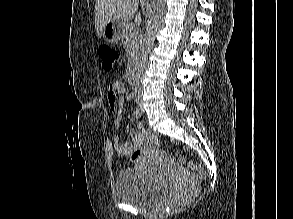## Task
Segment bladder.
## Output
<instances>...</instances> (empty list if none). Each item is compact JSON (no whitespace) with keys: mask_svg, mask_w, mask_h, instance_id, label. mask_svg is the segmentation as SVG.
I'll return each instance as SVG.
<instances>
[{"mask_svg":"<svg viewBox=\"0 0 293 219\" xmlns=\"http://www.w3.org/2000/svg\"><path fill=\"white\" fill-rule=\"evenodd\" d=\"M115 190L118 202L137 209H150L164 200L168 188L147 180L135 170L124 169L116 179Z\"/></svg>","mask_w":293,"mask_h":219,"instance_id":"31cf9c89","label":"bladder"}]
</instances>
